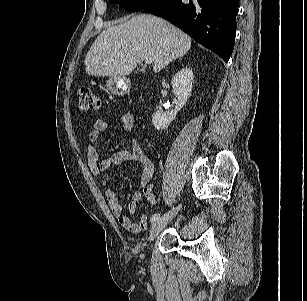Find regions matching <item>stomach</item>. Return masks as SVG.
Returning <instances> with one entry per match:
<instances>
[{"mask_svg": "<svg viewBox=\"0 0 307 301\" xmlns=\"http://www.w3.org/2000/svg\"><path fill=\"white\" fill-rule=\"evenodd\" d=\"M107 89L116 95H123L129 92L130 83L125 77H110L106 82Z\"/></svg>", "mask_w": 307, "mask_h": 301, "instance_id": "stomach-1", "label": "stomach"}]
</instances>
